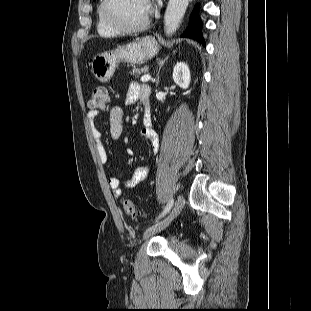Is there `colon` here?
Here are the masks:
<instances>
[{"mask_svg": "<svg viewBox=\"0 0 311 311\" xmlns=\"http://www.w3.org/2000/svg\"><path fill=\"white\" fill-rule=\"evenodd\" d=\"M110 104L108 91L104 86H96L91 94V98L89 100V107L94 110H106ZM121 204L125 213L131 217L136 218L139 215V212L130 199L123 198L121 200Z\"/></svg>", "mask_w": 311, "mask_h": 311, "instance_id": "5ec220e1", "label": "colon"}]
</instances>
